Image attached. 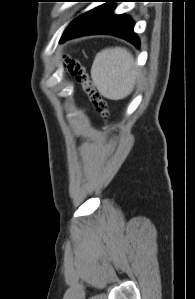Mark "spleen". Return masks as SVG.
<instances>
[{
  "mask_svg": "<svg viewBox=\"0 0 195 299\" xmlns=\"http://www.w3.org/2000/svg\"><path fill=\"white\" fill-rule=\"evenodd\" d=\"M138 75L132 54L122 47L97 53L91 68V77L98 91L112 100L127 97L133 91Z\"/></svg>",
  "mask_w": 195,
  "mask_h": 299,
  "instance_id": "1",
  "label": "spleen"
}]
</instances>
